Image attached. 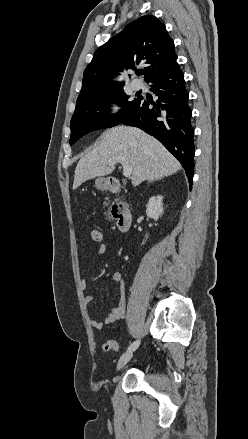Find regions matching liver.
I'll return each mask as SVG.
<instances>
[{
	"label": "liver",
	"mask_w": 248,
	"mask_h": 439,
	"mask_svg": "<svg viewBox=\"0 0 248 439\" xmlns=\"http://www.w3.org/2000/svg\"><path fill=\"white\" fill-rule=\"evenodd\" d=\"M100 139V143L79 160L73 189L87 180L110 174L114 166L108 165V161L117 158H124L132 166L134 186L170 176L181 169L177 159L158 140L140 129L117 126L103 132Z\"/></svg>",
	"instance_id": "6515ba94"
}]
</instances>
